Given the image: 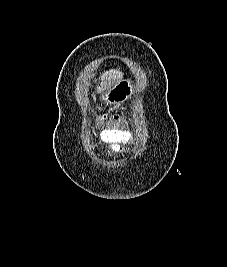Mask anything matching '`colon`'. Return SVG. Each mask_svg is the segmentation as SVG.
Here are the masks:
<instances>
[{"instance_id": "colon-1", "label": "colon", "mask_w": 227, "mask_h": 267, "mask_svg": "<svg viewBox=\"0 0 227 267\" xmlns=\"http://www.w3.org/2000/svg\"><path fill=\"white\" fill-rule=\"evenodd\" d=\"M104 119H111V114H106V111H103ZM114 118H117V115H114ZM99 129H105V126H99ZM110 130H123V125H110Z\"/></svg>"}]
</instances>
